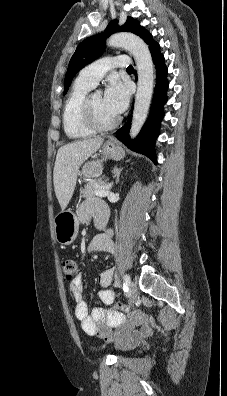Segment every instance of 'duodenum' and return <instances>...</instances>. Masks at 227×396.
<instances>
[{
	"label": "duodenum",
	"instance_id": "1",
	"mask_svg": "<svg viewBox=\"0 0 227 396\" xmlns=\"http://www.w3.org/2000/svg\"><path fill=\"white\" fill-rule=\"evenodd\" d=\"M106 224H107V216L106 215L101 217L100 219H98V221L96 223V225L99 229H104Z\"/></svg>",
	"mask_w": 227,
	"mask_h": 396
}]
</instances>
